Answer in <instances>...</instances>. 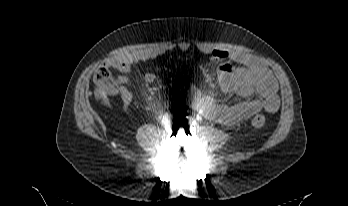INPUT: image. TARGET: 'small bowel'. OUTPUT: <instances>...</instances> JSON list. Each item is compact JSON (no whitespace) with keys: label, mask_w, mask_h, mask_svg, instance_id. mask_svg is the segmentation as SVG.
<instances>
[{"label":"small bowel","mask_w":348,"mask_h":206,"mask_svg":"<svg viewBox=\"0 0 348 206\" xmlns=\"http://www.w3.org/2000/svg\"><path fill=\"white\" fill-rule=\"evenodd\" d=\"M190 47L187 42L178 45L179 50L183 52L188 51ZM197 49L213 61L222 62L218 71V82L223 91L245 97H249L253 93L257 95L256 98H248L238 104L227 105L218 102L195 85L190 84L188 86L189 101L205 117L230 127L260 111L274 113L278 110L280 104L278 83L263 62L241 52H229L206 46H199ZM167 50L164 48L137 50L108 60L105 66L117 69L122 76L118 78L119 85L114 93L106 94L98 88L95 91L96 98L103 104L110 105L109 95L117 94L122 101L123 111L127 112L130 105L136 100V96L126 87L127 79L124 75L131 71L134 64L155 59ZM228 60H232L238 66L232 65ZM155 80L154 73L145 74L147 83H153Z\"/></svg>","instance_id":"1"}]
</instances>
